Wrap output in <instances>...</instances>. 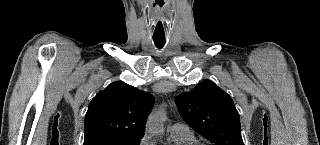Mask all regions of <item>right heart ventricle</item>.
<instances>
[{
  "instance_id": "e07e8e85",
  "label": "right heart ventricle",
  "mask_w": 320,
  "mask_h": 145,
  "mask_svg": "<svg viewBox=\"0 0 320 145\" xmlns=\"http://www.w3.org/2000/svg\"><path fill=\"white\" fill-rule=\"evenodd\" d=\"M174 145H197L198 140L193 133H170Z\"/></svg>"
}]
</instances>
